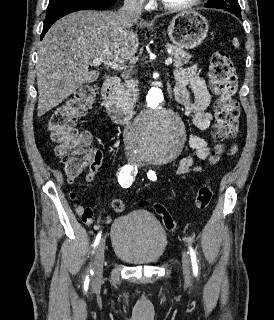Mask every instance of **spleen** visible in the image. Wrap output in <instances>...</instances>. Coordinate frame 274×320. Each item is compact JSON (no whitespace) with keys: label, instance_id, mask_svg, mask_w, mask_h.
<instances>
[{"label":"spleen","instance_id":"1","mask_svg":"<svg viewBox=\"0 0 274 320\" xmlns=\"http://www.w3.org/2000/svg\"><path fill=\"white\" fill-rule=\"evenodd\" d=\"M234 46H235V48H239V42H238V40H234Z\"/></svg>","mask_w":274,"mask_h":320}]
</instances>
